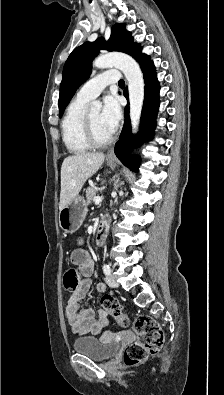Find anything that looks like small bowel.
<instances>
[{
	"label": "small bowel",
	"mask_w": 224,
	"mask_h": 395,
	"mask_svg": "<svg viewBox=\"0 0 224 395\" xmlns=\"http://www.w3.org/2000/svg\"><path fill=\"white\" fill-rule=\"evenodd\" d=\"M71 260L79 266L83 277L72 291L65 306L66 320L71 332L75 335L99 334L109 325L108 311L102 308L96 314L92 308L83 306V300L91 286L90 275L93 272L94 262L90 254L83 248L75 249ZM97 291L105 293L107 286L104 283H99Z\"/></svg>",
	"instance_id": "obj_1"
}]
</instances>
